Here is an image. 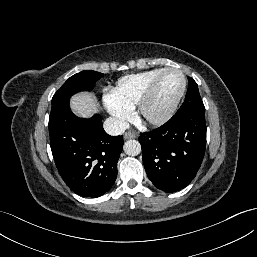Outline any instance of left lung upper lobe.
<instances>
[{"instance_id": "1", "label": "left lung upper lobe", "mask_w": 257, "mask_h": 257, "mask_svg": "<svg viewBox=\"0 0 257 257\" xmlns=\"http://www.w3.org/2000/svg\"><path fill=\"white\" fill-rule=\"evenodd\" d=\"M189 86L186 93L185 101L183 102L177 114H184L188 112H204L205 107L201 100L197 83L190 77H188Z\"/></svg>"}]
</instances>
